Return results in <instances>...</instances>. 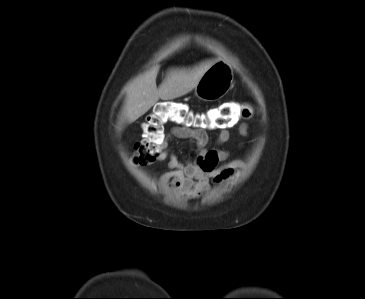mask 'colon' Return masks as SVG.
I'll list each match as a JSON object with an SVG mask.
<instances>
[{"instance_id": "5ec220e1", "label": "colon", "mask_w": 365, "mask_h": 299, "mask_svg": "<svg viewBox=\"0 0 365 299\" xmlns=\"http://www.w3.org/2000/svg\"><path fill=\"white\" fill-rule=\"evenodd\" d=\"M244 116V110L238 112L232 104L200 113L181 102H158L142 125L144 138L136 145L134 161L146 165L157 160L165 142V126L169 123L181 127L223 129L229 127L234 119Z\"/></svg>"}]
</instances>
